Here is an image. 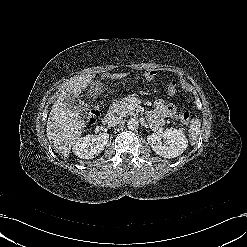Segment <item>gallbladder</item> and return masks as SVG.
I'll use <instances>...</instances> for the list:
<instances>
[{"instance_id":"obj_1","label":"gallbladder","mask_w":247,"mask_h":247,"mask_svg":"<svg viewBox=\"0 0 247 247\" xmlns=\"http://www.w3.org/2000/svg\"><path fill=\"white\" fill-rule=\"evenodd\" d=\"M64 102L66 103V105L69 108H71L77 112H80V113L85 112L87 109V106L85 105V103L78 101L76 99V96L72 92L67 93V95L64 99Z\"/></svg>"}]
</instances>
